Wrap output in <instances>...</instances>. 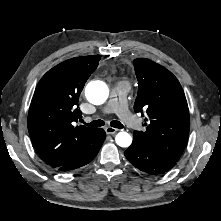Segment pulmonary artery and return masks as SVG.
Wrapping results in <instances>:
<instances>
[{
	"mask_svg": "<svg viewBox=\"0 0 221 221\" xmlns=\"http://www.w3.org/2000/svg\"><path fill=\"white\" fill-rule=\"evenodd\" d=\"M130 92V85L127 82H117L110 93V99L103 108L104 114L116 113L120 119L128 127L140 130L142 128V122L130 113L128 110L126 97Z\"/></svg>",
	"mask_w": 221,
	"mask_h": 221,
	"instance_id": "pulmonary-artery-1",
	"label": "pulmonary artery"
}]
</instances>
